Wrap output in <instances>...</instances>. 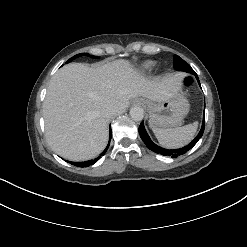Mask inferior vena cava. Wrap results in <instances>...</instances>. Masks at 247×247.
I'll return each instance as SVG.
<instances>
[{
	"label": "inferior vena cava",
	"mask_w": 247,
	"mask_h": 247,
	"mask_svg": "<svg viewBox=\"0 0 247 247\" xmlns=\"http://www.w3.org/2000/svg\"><path fill=\"white\" fill-rule=\"evenodd\" d=\"M116 112L113 108H107L104 110V115L107 118H110L112 115H114Z\"/></svg>",
	"instance_id": "602c4592"
}]
</instances>
